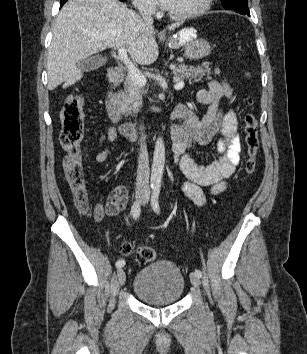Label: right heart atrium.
I'll return each mask as SVG.
<instances>
[{"label":"right heart atrium","instance_id":"right-heart-atrium-1","mask_svg":"<svg viewBox=\"0 0 307 354\" xmlns=\"http://www.w3.org/2000/svg\"><path fill=\"white\" fill-rule=\"evenodd\" d=\"M131 2L142 13L152 14L156 10L155 0H131Z\"/></svg>","mask_w":307,"mask_h":354}]
</instances>
